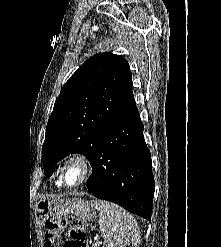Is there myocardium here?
I'll list each match as a JSON object with an SVG mask.
<instances>
[{
	"label": "myocardium",
	"instance_id": "f54148a6",
	"mask_svg": "<svg viewBox=\"0 0 221 247\" xmlns=\"http://www.w3.org/2000/svg\"><path fill=\"white\" fill-rule=\"evenodd\" d=\"M72 165H75L80 169L81 177L76 183L69 184L66 181V173H67V169ZM92 170H93V165L89 156L81 152L71 154L66 158V160L62 165L60 172V181L63 185L70 188L81 186L89 179V177L92 174Z\"/></svg>",
	"mask_w": 221,
	"mask_h": 247
}]
</instances>
